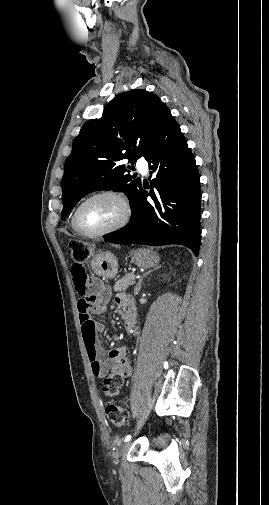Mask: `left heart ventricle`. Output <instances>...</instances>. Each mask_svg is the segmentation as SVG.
I'll use <instances>...</instances> for the list:
<instances>
[{
  "label": "left heart ventricle",
  "mask_w": 269,
  "mask_h": 505,
  "mask_svg": "<svg viewBox=\"0 0 269 505\" xmlns=\"http://www.w3.org/2000/svg\"><path fill=\"white\" fill-rule=\"evenodd\" d=\"M123 213L120 202L112 197H100L87 203L80 212V223L89 231H101L117 223Z\"/></svg>",
  "instance_id": "obj_1"
}]
</instances>
